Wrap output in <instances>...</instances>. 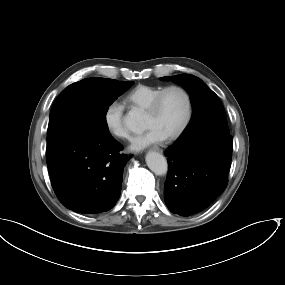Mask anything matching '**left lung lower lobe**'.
Segmentation results:
<instances>
[{
  "mask_svg": "<svg viewBox=\"0 0 285 285\" xmlns=\"http://www.w3.org/2000/svg\"><path fill=\"white\" fill-rule=\"evenodd\" d=\"M232 150V136L223 133L200 134L169 146L164 184L168 209L186 217L215 201L227 186Z\"/></svg>",
  "mask_w": 285,
  "mask_h": 285,
  "instance_id": "1",
  "label": "left lung lower lobe"
}]
</instances>
